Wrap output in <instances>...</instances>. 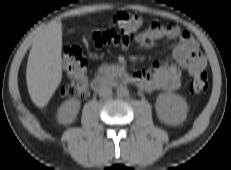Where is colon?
<instances>
[{
	"instance_id": "obj_1",
	"label": "colon",
	"mask_w": 231,
	"mask_h": 170,
	"mask_svg": "<svg viewBox=\"0 0 231 170\" xmlns=\"http://www.w3.org/2000/svg\"><path fill=\"white\" fill-rule=\"evenodd\" d=\"M142 18L133 13L119 11L109 19L110 26L122 35L135 37L142 32ZM63 68L69 82L62 88L64 97H86L88 92L87 61L77 47H67L63 54ZM208 87V77L205 71L194 74L190 83L192 93L204 92Z\"/></svg>"
}]
</instances>
